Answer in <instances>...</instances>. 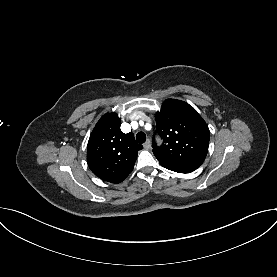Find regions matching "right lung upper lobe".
<instances>
[{
    "label": "right lung upper lobe",
    "mask_w": 277,
    "mask_h": 277,
    "mask_svg": "<svg viewBox=\"0 0 277 277\" xmlns=\"http://www.w3.org/2000/svg\"><path fill=\"white\" fill-rule=\"evenodd\" d=\"M116 113L105 114L93 129L87 146V163L91 171L104 181L122 182L133 170L138 150L133 133L120 129Z\"/></svg>",
    "instance_id": "obj_1"
}]
</instances>
